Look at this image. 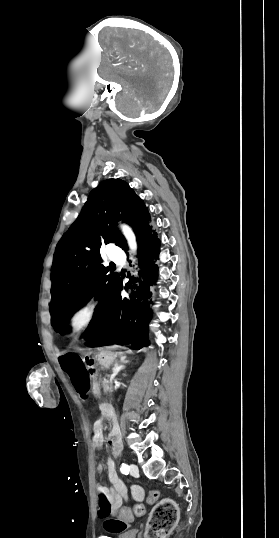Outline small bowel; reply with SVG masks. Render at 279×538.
I'll use <instances>...</instances> for the list:
<instances>
[{
  "instance_id": "obj_1",
  "label": "small bowel",
  "mask_w": 279,
  "mask_h": 538,
  "mask_svg": "<svg viewBox=\"0 0 279 538\" xmlns=\"http://www.w3.org/2000/svg\"><path fill=\"white\" fill-rule=\"evenodd\" d=\"M70 380L74 391L80 398L86 399L91 395L93 391V384L88 372H73L70 374ZM111 421L112 430L108 438V443L111 446L113 452L115 454H119L121 450L119 427L114 418H112ZM103 427L104 419L97 420L93 425L92 441L95 447H101L105 442ZM106 466L108 471V479L111 484L110 489H107L106 493L112 508L116 510L121 507L123 500L127 499L128 489L126 485L119 479L114 461L112 459H108L106 462ZM104 468V463H99L97 466L98 472H102ZM131 496L135 501H142L144 498V491L140 486L134 485L131 488ZM127 526V522L117 519H109L105 523V528L110 532H120L126 529Z\"/></svg>"
}]
</instances>
